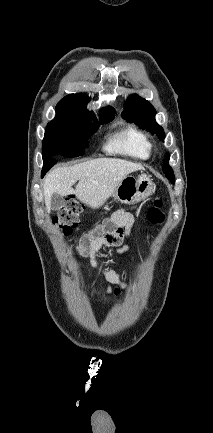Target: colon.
<instances>
[{"instance_id": "1", "label": "colon", "mask_w": 213, "mask_h": 433, "mask_svg": "<svg viewBox=\"0 0 213 433\" xmlns=\"http://www.w3.org/2000/svg\"><path fill=\"white\" fill-rule=\"evenodd\" d=\"M162 201L156 199L148 210L147 217L150 223L160 224L164 220L161 210ZM83 210V205L77 200H69L64 207L53 216L52 222L64 235L71 234L72 230L78 225L79 215Z\"/></svg>"}]
</instances>
